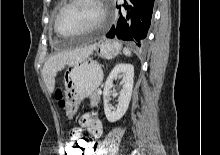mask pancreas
I'll return each mask as SVG.
<instances>
[{
    "label": "pancreas",
    "mask_w": 220,
    "mask_h": 155,
    "mask_svg": "<svg viewBox=\"0 0 220 155\" xmlns=\"http://www.w3.org/2000/svg\"><path fill=\"white\" fill-rule=\"evenodd\" d=\"M90 101H91V106L93 107L97 106L100 101V95L97 92H95L90 96Z\"/></svg>",
    "instance_id": "pancreas-1"
}]
</instances>
